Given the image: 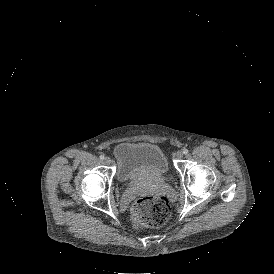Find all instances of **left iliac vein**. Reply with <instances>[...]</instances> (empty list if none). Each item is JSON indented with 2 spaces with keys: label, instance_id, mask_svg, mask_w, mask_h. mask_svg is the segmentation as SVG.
Returning a JSON list of instances; mask_svg holds the SVG:
<instances>
[{
  "label": "left iliac vein",
  "instance_id": "obj_1",
  "mask_svg": "<svg viewBox=\"0 0 274 274\" xmlns=\"http://www.w3.org/2000/svg\"><path fill=\"white\" fill-rule=\"evenodd\" d=\"M183 155H184L183 151L179 150V151H177V153H176V158H177L178 160H180V159H182Z\"/></svg>",
  "mask_w": 274,
  "mask_h": 274
}]
</instances>
